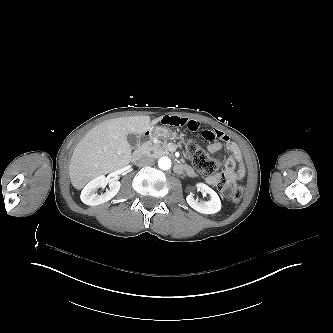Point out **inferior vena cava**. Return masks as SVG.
Segmentation results:
<instances>
[{"label":"inferior vena cava","instance_id":"obj_1","mask_svg":"<svg viewBox=\"0 0 333 333\" xmlns=\"http://www.w3.org/2000/svg\"><path fill=\"white\" fill-rule=\"evenodd\" d=\"M154 163L155 160L152 157L144 156L138 161L137 165L139 167H145V166H153Z\"/></svg>","mask_w":333,"mask_h":333}]
</instances>
